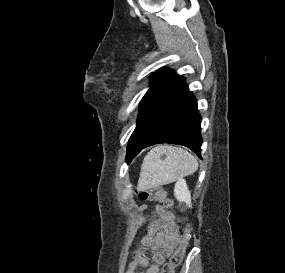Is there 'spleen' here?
Instances as JSON below:
<instances>
[{"instance_id":"spleen-1","label":"spleen","mask_w":285,"mask_h":273,"mask_svg":"<svg viewBox=\"0 0 285 273\" xmlns=\"http://www.w3.org/2000/svg\"><path fill=\"white\" fill-rule=\"evenodd\" d=\"M198 169L197 159L188 151L160 145L145 156L140 172L139 188L146 190L182 180Z\"/></svg>"}]
</instances>
